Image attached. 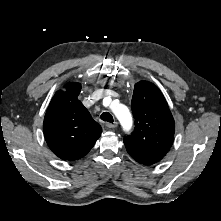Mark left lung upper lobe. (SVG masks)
Returning a JSON list of instances; mask_svg holds the SVG:
<instances>
[{
  "label": "left lung upper lobe",
  "instance_id": "1",
  "mask_svg": "<svg viewBox=\"0 0 221 221\" xmlns=\"http://www.w3.org/2000/svg\"><path fill=\"white\" fill-rule=\"evenodd\" d=\"M135 129L123 139L127 152L139 163L152 165L169 151L174 139V119L157 86L135 84L132 97Z\"/></svg>",
  "mask_w": 221,
  "mask_h": 221
}]
</instances>
